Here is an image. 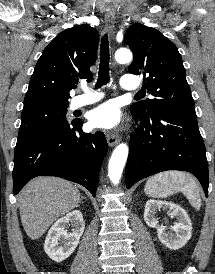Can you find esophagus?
Instances as JSON below:
<instances>
[{
    "label": "esophagus",
    "mask_w": 215,
    "mask_h": 274,
    "mask_svg": "<svg viewBox=\"0 0 215 274\" xmlns=\"http://www.w3.org/2000/svg\"><path fill=\"white\" fill-rule=\"evenodd\" d=\"M115 23V17L112 13H107L105 15V25L108 29H112ZM121 140V137L116 134V133H112V134H108L107 135V142L109 146H114L116 144H118Z\"/></svg>",
    "instance_id": "1"
}]
</instances>
